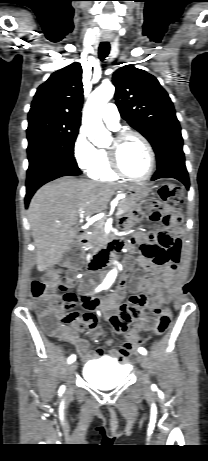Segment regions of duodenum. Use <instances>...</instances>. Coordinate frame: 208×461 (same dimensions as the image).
<instances>
[{"mask_svg":"<svg viewBox=\"0 0 208 461\" xmlns=\"http://www.w3.org/2000/svg\"><path fill=\"white\" fill-rule=\"evenodd\" d=\"M113 239L107 241L104 244L103 248L93 256V258L90 261L91 270L97 271L99 268L104 266V264H106V262L109 259V245L111 244V242H115V244H122L124 238L122 236H117ZM88 240V235L84 230L80 229L77 231V241L79 244L85 245L88 242Z\"/></svg>","mask_w":208,"mask_h":461,"instance_id":"duodenum-1","label":"duodenum"}]
</instances>
